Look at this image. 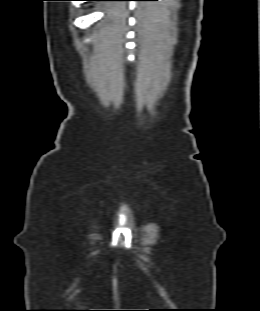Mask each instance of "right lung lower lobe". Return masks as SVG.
I'll return each instance as SVG.
<instances>
[{
	"label": "right lung lower lobe",
	"mask_w": 260,
	"mask_h": 311,
	"mask_svg": "<svg viewBox=\"0 0 260 311\" xmlns=\"http://www.w3.org/2000/svg\"><path fill=\"white\" fill-rule=\"evenodd\" d=\"M86 1H95V0H86Z\"/></svg>",
	"instance_id": "obj_1"
}]
</instances>
